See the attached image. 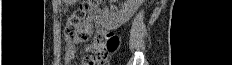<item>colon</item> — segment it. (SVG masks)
Instances as JSON below:
<instances>
[{
  "label": "colon",
  "mask_w": 232,
  "mask_h": 65,
  "mask_svg": "<svg viewBox=\"0 0 232 65\" xmlns=\"http://www.w3.org/2000/svg\"><path fill=\"white\" fill-rule=\"evenodd\" d=\"M98 0L83 1L80 6L74 10L67 19L64 34L67 40L73 39L80 31L87 14L99 3ZM119 46V37L113 32L106 33L98 37L90 46L95 54L94 57L88 58L90 62H101L104 64L108 55L114 52Z\"/></svg>",
  "instance_id": "obj_1"
}]
</instances>
